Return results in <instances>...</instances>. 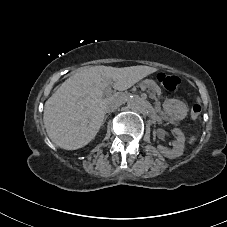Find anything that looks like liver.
<instances>
[{
    "mask_svg": "<svg viewBox=\"0 0 227 227\" xmlns=\"http://www.w3.org/2000/svg\"><path fill=\"white\" fill-rule=\"evenodd\" d=\"M156 71L148 66H95L73 74L45 102L43 122L48 137L66 150L84 147L102 125L103 90L112 81L115 89L125 90Z\"/></svg>",
    "mask_w": 227,
    "mask_h": 227,
    "instance_id": "obj_1",
    "label": "liver"
}]
</instances>
